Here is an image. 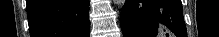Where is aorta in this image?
Segmentation results:
<instances>
[{
	"label": "aorta",
	"mask_w": 219,
	"mask_h": 37,
	"mask_svg": "<svg viewBox=\"0 0 219 37\" xmlns=\"http://www.w3.org/2000/svg\"><path fill=\"white\" fill-rule=\"evenodd\" d=\"M114 3L119 7H122L125 4V0H114Z\"/></svg>",
	"instance_id": "1"
}]
</instances>
